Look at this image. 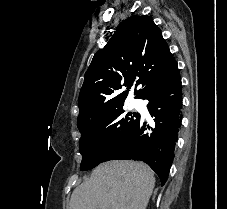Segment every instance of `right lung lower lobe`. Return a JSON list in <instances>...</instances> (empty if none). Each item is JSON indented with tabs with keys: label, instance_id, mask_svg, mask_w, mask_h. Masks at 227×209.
I'll return each instance as SVG.
<instances>
[{
	"label": "right lung lower lobe",
	"instance_id": "98d812e1",
	"mask_svg": "<svg viewBox=\"0 0 227 209\" xmlns=\"http://www.w3.org/2000/svg\"><path fill=\"white\" fill-rule=\"evenodd\" d=\"M164 71L167 73L143 98L149 100L148 110L154 117L155 125L150 127L139 115L127 133L101 160L143 161L155 171L161 185L168 178L182 119V86L177 62L169 67L153 69L156 74Z\"/></svg>",
	"mask_w": 227,
	"mask_h": 209
}]
</instances>
